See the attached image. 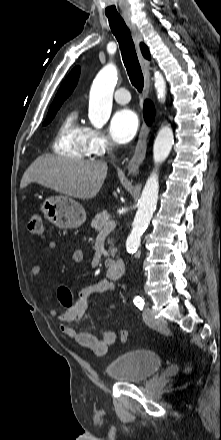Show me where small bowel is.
<instances>
[{
	"mask_svg": "<svg viewBox=\"0 0 221 440\" xmlns=\"http://www.w3.org/2000/svg\"><path fill=\"white\" fill-rule=\"evenodd\" d=\"M48 250L54 251L56 249L55 242H49L47 246ZM83 252L80 249H76L73 252L72 260L75 263H80L83 260ZM42 267L40 264H35L32 267V274L36 277L41 273ZM34 290L38 295L41 294L40 285L35 281L33 284ZM114 289V284L109 279H103L96 283L90 284L76 291L75 299L76 305L69 306L72 312L66 315L64 312L61 314L52 309L50 314L52 317L60 320L59 329L65 336L74 339L82 347L92 350L95 354L103 356L107 353L109 347L115 343L117 334L114 330H107L103 333L102 338H98L92 332L86 331L78 333L69 324L72 322H79L86 311L89 300L92 296L111 292ZM62 302V301H61ZM63 303V302H62Z\"/></svg>",
	"mask_w": 221,
	"mask_h": 440,
	"instance_id": "small-bowel-1",
	"label": "small bowel"
}]
</instances>
